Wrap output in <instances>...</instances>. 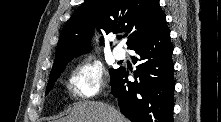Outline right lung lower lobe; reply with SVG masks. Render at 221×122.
Returning <instances> with one entry per match:
<instances>
[{"instance_id": "right-lung-lower-lobe-1", "label": "right lung lower lobe", "mask_w": 221, "mask_h": 122, "mask_svg": "<svg viewBox=\"0 0 221 122\" xmlns=\"http://www.w3.org/2000/svg\"><path fill=\"white\" fill-rule=\"evenodd\" d=\"M137 53L135 77L119 68L111 78V93L118 98L121 113L132 122H173V47L166 20L148 37L130 48Z\"/></svg>"}]
</instances>
